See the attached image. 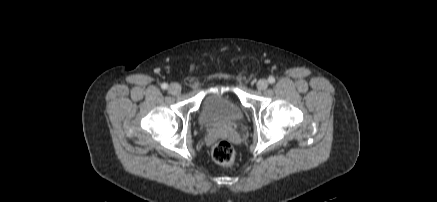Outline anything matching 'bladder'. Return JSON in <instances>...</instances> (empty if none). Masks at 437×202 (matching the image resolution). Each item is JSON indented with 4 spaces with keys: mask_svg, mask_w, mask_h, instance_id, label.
<instances>
[{
    "mask_svg": "<svg viewBox=\"0 0 437 202\" xmlns=\"http://www.w3.org/2000/svg\"><path fill=\"white\" fill-rule=\"evenodd\" d=\"M240 104L229 95L212 94L203 101L199 120L205 126L236 124L243 119Z\"/></svg>",
    "mask_w": 437,
    "mask_h": 202,
    "instance_id": "1",
    "label": "bladder"
}]
</instances>
